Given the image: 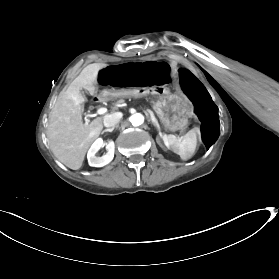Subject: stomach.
<instances>
[{"label": "stomach", "mask_w": 279, "mask_h": 279, "mask_svg": "<svg viewBox=\"0 0 279 279\" xmlns=\"http://www.w3.org/2000/svg\"><path fill=\"white\" fill-rule=\"evenodd\" d=\"M153 110L166 130L176 131L190 118L191 103L181 96L167 97L153 102Z\"/></svg>", "instance_id": "stomach-1"}]
</instances>
